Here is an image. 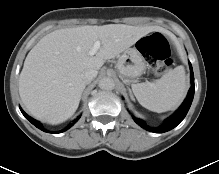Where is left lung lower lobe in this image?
I'll list each match as a JSON object with an SVG mask.
<instances>
[{
    "label": "left lung lower lobe",
    "instance_id": "obj_1",
    "mask_svg": "<svg viewBox=\"0 0 219 174\" xmlns=\"http://www.w3.org/2000/svg\"><path fill=\"white\" fill-rule=\"evenodd\" d=\"M189 65H190V71H191V87H190V90L188 92V95H187L185 101L180 106V108L171 117L166 119L164 121V123L158 128H150L145 124V122L143 120L133 117L134 121L139 126H141L142 128H144L148 131L154 132V133H164V132H167V131L175 128L185 118V116H186V114L191 106V103H192V100L194 97V90H195L194 74H193V69H192V65L190 62H189Z\"/></svg>",
    "mask_w": 219,
    "mask_h": 174
}]
</instances>
